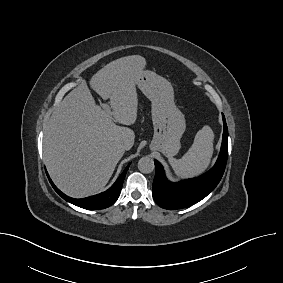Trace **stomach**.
Wrapping results in <instances>:
<instances>
[{"instance_id": "0dacf381", "label": "stomach", "mask_w": 283, "mask_h": 283, "mask_svg": "<svg viewBox=\"0 0 283 283\" xmlns=\"http://www.w3.org/2000/svg\"><path fill=\"white\" fill-rule=\"evenodd\" d=\"M137 85L152 103L154 136L150 148L171 158L178 153L186 129L184 115L174 102L173 87L168 80L151 71H143Z\"/></svg>"}]
</instances>
